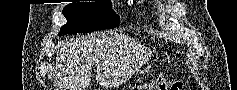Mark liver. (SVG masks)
Segmentation results:
<instances>
[{"label":"liver","instance_id":"6515ba94","mask_svg":"<svg viewBox=\"0 0 237 90\" xmlns=\"http://www.w3.org/2000/svg\"><path fill=\"white\" fill-rule=\"evenodd\" d=\"M60 48L55 60L63 76L59 78L61 90H86L90 86L92 66H103L116 54L114 42L107 36L61 42Z\"/></svg>","mask_w":237,"mask_h":90}]
</instances>
